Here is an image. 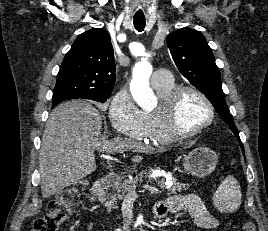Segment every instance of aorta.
Listing matches in <instances>:
<instances>
[{
	"label": "aorta",
	"mask_w": 268,
	"mask_h": 231,
	"mask_svg": "<svg viewBox=\"0 0 268 231\" xmlns=\"http://www.w3.org/2000/svg\"><path fill=\"white\" fill-rule=\"evenodd\" d=\"M145 56L147 57V54ZM151 73L152 65L146 58H143L133 69L130 90L136 103L143 109L152 107L155 101L153 90L149 85Z\"/></svg>",
	"instance_id": "1"
}]
</instances>
